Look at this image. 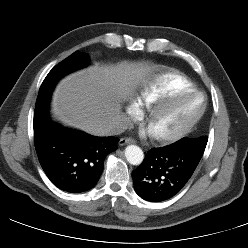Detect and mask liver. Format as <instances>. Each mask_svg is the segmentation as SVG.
Here are the masks:
<instances>
[{"mask_svg":"<svg viewBox=\"0 0 248 248\" xmlns=\"http://www.w3.org/2000/svg\"><path fill=\"white\" fill-rule=\"evenodd\" d=\"M140 64L94 65L66 76L52 100L54 117L63 124L104 136L121 113V102L139 83Z\"/></svg>","mask_w":248,"mask_h":248,"instance_id":"liver-1","label":"liver"}]
</instances>
